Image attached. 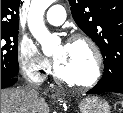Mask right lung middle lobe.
Here are the masks:
<instances>
[{"label": "right lung middle lobe", "instance_id": "obj_1", "mask_svg": "<svg viewBox=\"0 0 123 113\" xmlns=\"http://www.w3.org/2000/svg\"><path fill=\"white\" fill-rule=\"evenodd\" d=\"M18 29L1 30V77H16L19 71Z\"/></svg>", "mask_w": 123, "mask_h": 113}]
</instances>
